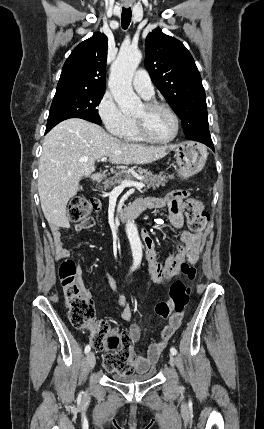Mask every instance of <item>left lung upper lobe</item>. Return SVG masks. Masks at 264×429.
<instances>
[{"mask_svg": "<svg viewBox=\"0 0 264 429\" xmlns=\"http://www.w3.org/2000/svg\"><path fill=\"white\" fill-rule=\"evenodd\" d=\"M145 53V66L152 82L180 117L185 137H209L201 76L183 43L156 28L146 38Z\"/></svg>", "mask_w": 264, "mask_h": 429, "instance_id": "1", "label": "left lung upper lobe"}]
</instances>
